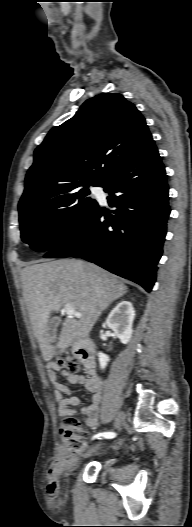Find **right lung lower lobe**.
<instances>
[{"label": "right lung lower lobe", "instance_id": "1", "mask_svg": "<svg viewBox=\"0 0 192 527\" xmlns=\"http://www.w3.org/2000/svg\"><path fill=\"white\" fill-rule=\"evenodd\" d=\"M101 187L113 214L97 203L84 224L44 257L83 258L151 291L170 214L165 168L153 139Z\"/></svg>", "mask_w": 192, "mask_h": 527}]
</instances>
